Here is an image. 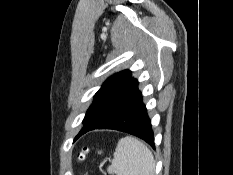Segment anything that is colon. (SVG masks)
I'll return each instance as SVG.
<instances>
[{"label": "colon", "instance_id": "obj_1", "mask_svg": "<svg viewBox=\"0 0 233 175\" xmlns=\"http://www.w3.org/2000/svg\"><path fill=\"white\" fill-rule=\"evenodd\" d=\"M87 152H88V148L87 147L83 148V150L78 154V159L83 160Z\"/></svg>", "mask_w": 233, "mask_h": 175}]
</instances>
